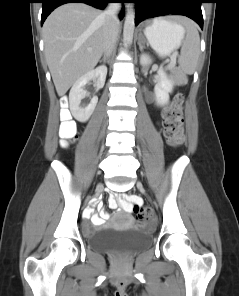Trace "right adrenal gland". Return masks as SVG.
<instances>
[{"label": "right adrenal gland", "instance_id": "right-adrenal-gland-1", "mask_svg": "<svg viewBox=\"0 0 239 296\" xmlns=\"http://www.w3.org/2000/svg\"><path fill=\"white\" fill-rule=\"evenodd\" d=\"M109 57H110L109 55L104 56L103 59L100 60V62H103V63H106L107 62V63H109Z\"/></svg>", "mask_w": 239, "mask_h": 296}]
</instances>
